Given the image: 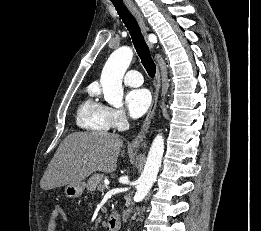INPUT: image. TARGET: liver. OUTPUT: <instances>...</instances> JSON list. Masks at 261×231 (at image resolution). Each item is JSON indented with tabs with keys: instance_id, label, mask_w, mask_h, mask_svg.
Returning <instances> with one entry per match:
<instances>
[{
	"instance_id": "obj_1",
	"label": "liver",
	"mask_w": 261,
	"mask_h": 231,
	"mask_svg": "<svg viewBox=\"0 0 261 231\" xmlns=\"http://www.w3.org/2000/svg\"><path fill=\"white\" fill-rule=\"evenodd\" d=\"M123 146L118 134L107 132H76L59 145L50 161L40 187L50 190L76 184L93 172H113Z\"/></svg>"
}]
</instances>
